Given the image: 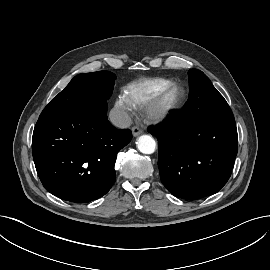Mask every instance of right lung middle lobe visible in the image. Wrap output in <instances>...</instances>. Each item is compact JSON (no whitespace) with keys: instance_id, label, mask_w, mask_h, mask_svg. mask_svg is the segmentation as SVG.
<instances>
[{"instance_id":"obj_1","label":"right lung middle lobe","mask_w":270,"mask_h":270,"mask_svg":"<svg viewBox=\"0 0 270 270\" xmlns=\"http://www.w3.org/2000/svg\"><path fill=\"white\" fill-rule=\"evenodd\" d=\"M115 79L116 76L109 71L81 73L48 103L41 114L84 110L106 103Z\"/></svg>"}]
</instances>
